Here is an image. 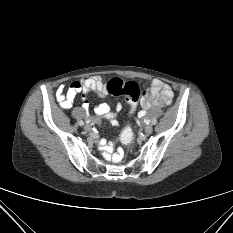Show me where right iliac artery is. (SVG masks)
Here are the masks:
<instances>
[{
    "label": "right iliac artery",
    "instance_id": "right-iliac-artery-1",
    "mask_svg": "<svg viewBox=\"0 0 233 233\" xmlns=\"http://www.w3.org/2000/svg\"><path fill=\"white\" fill-rule=\"evenodd\" d=\"M79 125L80 126H83L84 125V122L81 120V121H79Z\"/></svg>",
    "mask_w": 233,
    "mask_h": 233
}]
</instances>
